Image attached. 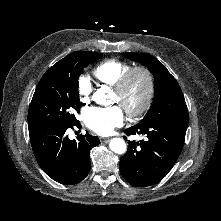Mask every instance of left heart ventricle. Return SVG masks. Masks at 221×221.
<instances>
[{
    "label": "left heart ventricle",
    "instance_id": "obj_1",
    "mask_svg": "<svg viewBox=\"0 0 221 221\" xmlns=\"http://www.w3.org/2000/svg\"><path fill=\"white\" fill-rule=\"evenodd\" d=\"M146 84L145 80L142 76L137 75L134 77L131 86L125 96V98L120 101L117 94L114 92L113 100L114 102H118L122 105V107L134 109L140 105L145 95Z\"/></svg>",
    "mask_w": 221,
    "mask_h": 221
}]
</instances>
